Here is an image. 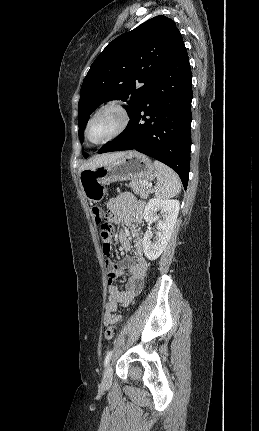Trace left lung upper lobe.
Returning <instances> with one entry per match:
<instances>
[{"label":"left lung upper lobe","instance_id":"obj_1","mask_svg":"<svg viewBox=\"0 0 259 431\" xmlns=\"http://www.w3.org/2000/svg\"><path fill=\"white\" fill-rule=\"evenodd\" d=\"M182 44L175 22L163 15L110 42L91 65L81 87L80 141L83 142L89 115L104 102L127 101L130 107L126 111L131 116ZM138 83L144 85L138 87ZM83 155L88 157L85 152Z\"/></svg>","mask_w":259,"mask_h":431}]
</instances>
